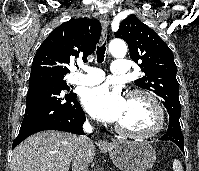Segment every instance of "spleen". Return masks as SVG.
Masks as SVG:
<instances>
[{"label":"spleen","instance_id":"1","mask_svg":"<svg viewBox=\"0 0 199 171\" xmlns=\"http://www.w3.org/2000/svg\"><path fill=\"white\" fill-rule=\"evenodd\" d=\"M173 170L174 171H183L181 162L178 159H174V161H173Z\"/></svg>","mask_w":199,"mask_h":171}]
</instances>
